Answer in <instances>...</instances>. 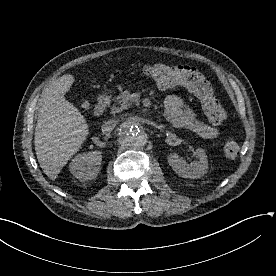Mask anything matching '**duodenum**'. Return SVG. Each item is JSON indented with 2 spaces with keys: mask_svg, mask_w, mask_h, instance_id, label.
Returning <instances> with one entry per match:
<instances>
[{
  "mask_svg": "<svg viewBox=\"0 0 276 276\" xmlns=\"http://www.w3.org/2000/svg\"><path fill=\"white\" fill-rule=\"evenodd\" d=\"M108 105H109V97L106 95H101L95 107V115L97 117H101L104 111L106 110V108L108 107Z\"/></svg>",
  "mask_w": 276,
  "mask_h": 276,
  "instance_id": "duodenum-1",
  "label": "duodenum"
}]
</instances>
